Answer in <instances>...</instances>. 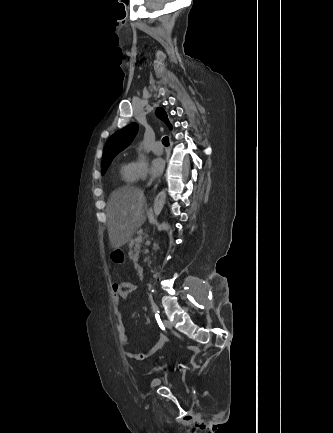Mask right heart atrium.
I'll return each mask as SVG.
<instances>
[{"label":"right heart atrium","instance_id":"d8ad5b80","mask_svg":"<svg viewBox=\"0 0 333 433\" xmlns=\"http://www.w3.org/2000/svg\"><path fill=\"white\" fill-rule=\"evenodd\" d=\"M130 167L135 180L146 179L150 174L148 163L143 159L133 160Z\"/></svg>","mask_w":333,"mask_h":433}]
</instances>
